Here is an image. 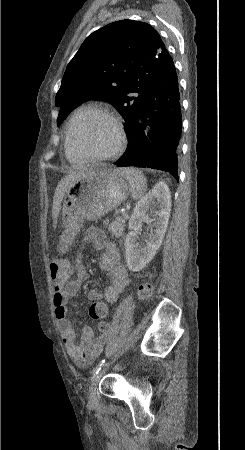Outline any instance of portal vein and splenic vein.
Listing matches in <instances>:
<instances>
[{
  "label": "portal vein and splenic vein",
  "mask_w": 245,
  "mask_h": 450,
  "mask_svg": "<svg viewBox=\"0 0 245 450\" xmlns=\"http://www.w3.org/2000/svg\"><path fill=\"white\" fill-rule=\"evenodd\" d=\"M122 216H123L124 218H127V217H128V214H127L126 212H122Z\"/></svg>",
  "instance_id": "portal-vein-and-splenic-vein-1"
}]
</instances>
